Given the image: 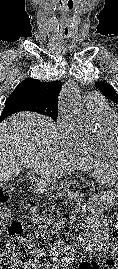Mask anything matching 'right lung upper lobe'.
Returning a JSON list of instances; mask_svg holds the SVG:
<instances>
[{"label":"right lung upper lobe","instance_id":"1","mask_svg":"<svg viewBox=\"0 0 118 269\" xmlns=\"http://www.w3.org/2000/svg\"><path fill=\"white\" fill-rule=\"evenodd\" d=\"M61 87V81L40 82L37 79L28 78L22 81L11 95L27 96L42 105L58 106Z\"/></svg>","mask_w":118,"mask_h":269}]
</instances>
